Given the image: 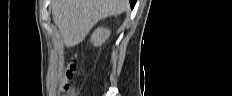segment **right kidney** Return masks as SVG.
Segmentation results:
<instances>
[{
	"mask_svg": "<svg viewBox=\"0 0 232 96\" xmlns=\"http://www.w3.org/2000/svg\"><path fill=\"white\" fill-rule=\"evenodd\" d=\"M110 36V31L104 28H98L94 31L91 37V41L95 46H100L104 43Z\"/></svg>",
	"mask_w": 232,
	"mask_h": 96,
	"instance_id": "obj_1",
	"label": "right kidney"
}]
</instances>
